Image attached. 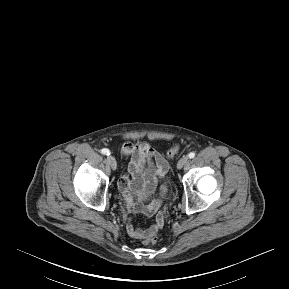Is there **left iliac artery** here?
<instances>
[{
	"label": "left iliac artery",
	"mask_w": 289,
	"mask_h": 289,
	"mask_svg": "<svg viewBox=\"0 0 289 289\" xmlns=\"http://www.w3.org/2000/svg\"><path fill=\"white\" fill-rule=\"evenodd\" d=\"M188 157H189V158H194V157H195V153H194V152H190V153L188 154Z\"/></svg>",
	"instance_id": "obj_1"
}]
</instances>
